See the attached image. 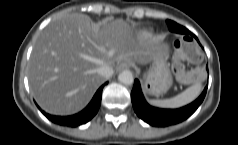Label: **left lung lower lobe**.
Wrapping results in <instances>:
<instances>
[{"label": "left lung lower lobe", "instance_id": "obj_1", "mask_svg": "<svg viewBox=\"0 0 238 145\" xmlns=\"http://www.w3.org/2000/svg\"><path fill=\"white\" fill-rule=\"evenodd\" d=\"M173 24L175 25L172 28L173 32L185 34L187 35L186 36L187 38L188 35H191L198 41L197 37L193 33H191L188 29L178 25L175 22H173ZM206 91L207 87H205L202 94L194 102L190 103L185 107L179 109H160L152 107L146 102L141 91L140 83L136 79L131 92V100L134 111L142 120H144L145 122H147L152 126L166 127L180 123L186 120L188 117H190L204 100Z\"/></svg>", "mask_w": 238, "mask_h": 145}]
</instances>
